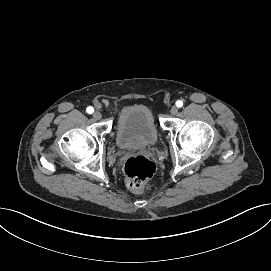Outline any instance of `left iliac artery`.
I'll return each mask as SVG.
<instances>
[{"label":"left iliac artery","mask_w":271,"mask_h":271,"mask_svg":"<svg viewBox=\"0 0 271 271\" xmlns=\"http://www.w3.org/2000/svg\"><path fill=\"white\" fill-rule=\"evenodd\" d=\"M176 106H177V107H182V106H183V102L180 101V100H178V101L176 102Z\"/></svg>","instance_id":"44dca946"}]
</instances>
